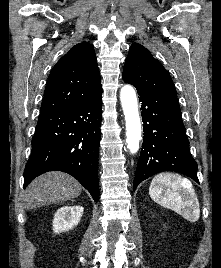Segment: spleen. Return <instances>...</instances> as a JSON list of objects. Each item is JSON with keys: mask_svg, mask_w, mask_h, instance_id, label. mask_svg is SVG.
<instances>
[{"mask_svg": "<svg viewBox=\"0 0 221 268\" xmlns=\"http://www.w3.org/2000/svg\"><path fill=\"white\" fill-rule=\"evenodd\" d=\"M149 195L159 205L171 209L195 222L200 217V207L192 183L174 173H159L149 187Z\"/></svg>", "mask_w": 221, "mask_h": 268, "instance_id": "3e777b00", "label": "spleen"}]
</instances>
